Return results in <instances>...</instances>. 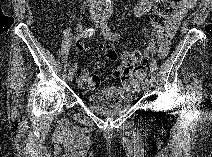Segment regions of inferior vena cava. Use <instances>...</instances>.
<instances>
[{
	"instance_id": "602c4592",
	"label": "inferior vena cava",
	"mask_w": 212,
	"mask_h": 157,
	"mask_svg": "<svg viewBox=\"0 0 212 157\" xmlns=\"http://www.w3.org/2000/svg\"><path fill=\"white\" fill-rule=\"evenodd\" d=\"M89 8L91 11L93 10H101L102 2L101 0H88Z\"/></svg>"
}]
</instances>
